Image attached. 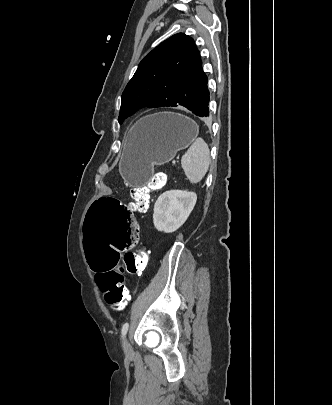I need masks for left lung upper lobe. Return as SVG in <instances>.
Returning <instances> with one entry per match:
<instances>
[{
	"instance_id": "1",
	"label": "left lung upper lobe",
	"mask_w": 332,
	"mask_h": 405,
	"mask_svg": "<svg viewBox=\"0 0 332 405\" xmlns=\"http://www.w3.org/2000/svg\"><path fill=\"white\" fill-rule=\"evenodd\" d=\"M204 75L193 39L171 36L140 62L122 94L119 122L143 106L191 108Z\"/></svg>"
}]
</instances>
